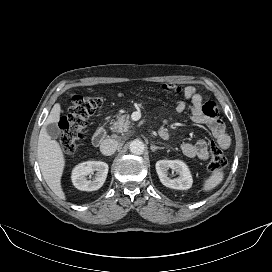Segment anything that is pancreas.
Here are the masks:
<instances>
[{"mask_svg":"<svg viewBox=\"0 0 272 272\" xmlns=\"http://www.w3.org/2000/svg\"><path fill=\"white\" fill-rule=\"evenodd\" d=\"M112 130L118 133L127 132L131 122L129 121V115L124 114L117 117L115 121L112 122Z\"/></svg>","mask_w":272,"mask_h":272,"instance_id":"1","label":"pancreas"}]
</instances>
